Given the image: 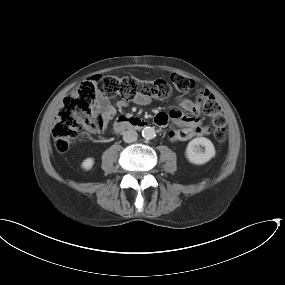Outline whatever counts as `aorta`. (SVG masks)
<instances>
[{
  "instance_id": "obj_1",
  "label": "aorta",
  "mask_w": 285,
  "mask_h": 285,
  "mask_svg": "<svg viewBox=\"0 0 285 285\" xmlns=\"http://www.w3.org/2000/svg\"><path fill=\"white\" fill-rule=\"evenodd\" d=\"M142 136L148 140L153 139L156 136V131L153 127H145L142 130Z\"/></svg>"
}]
</instances>
